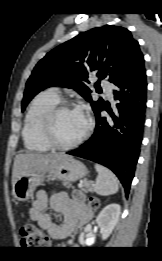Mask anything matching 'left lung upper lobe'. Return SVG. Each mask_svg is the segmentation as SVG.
<instances>
[{"instance_id":"1","label":"left lung upper lobe","mask_w":162,"mask_h":261,"mask_svg":"<svg viewBox=\"0 0 162 261\" xmlns=\"http://www.w3.org/2000/svg\"><path fill=\"white\" fill-rule=\"evenodd\" d=\"M144 59L138 42L124 27L105 25L81 33L54 48L35 66L29 77L22 110L40 91L51 86L75 89L91 102L96 113L104 105L100 98L92 101L88 75L95 72L99 79L118 81ZM99 81L95 84L97 88Z\"/></svg>"}]
</instances>
